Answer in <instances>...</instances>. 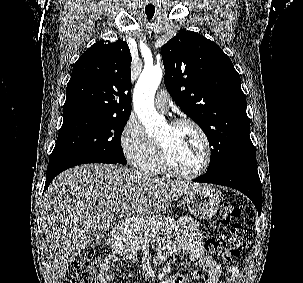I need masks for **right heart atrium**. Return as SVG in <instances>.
<instances>
[{
    "label": "right heart atrium",
    "mask_w": 303,
    "mask_h": 283,
    "mask_svg": "<svg viewBox=\"0 0 303 283\" xmlns=\"http://www.w3.org/2000/svg\"><path fill=\"white\" fill-rule=\"evenodd\" d=\"M120 147L126 160L139 167L155 147V141L136 118L130 117L120 133Z\"/></svg>",
    "instance_id": "d8ad5b80"
}]
</instances>
